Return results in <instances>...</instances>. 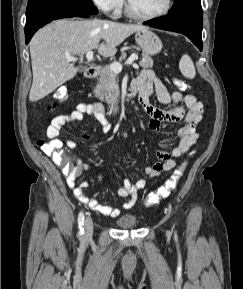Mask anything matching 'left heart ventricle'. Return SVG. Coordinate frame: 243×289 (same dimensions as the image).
<instances>
[{"label": "left heart ventricle", "mask_w": 243, "mask_h": 289, "mask_svg": "<svg viewBox=\"0 0 243 289\" xmlns=\"http://www.w3.org/2000/svg\"><path fill=\"white\" fill-rule=\"evenodd\" d=\"M132 8L142 15H153L162 11L166 0H130Z\"/></svg>", "instance_id": "1"}]
</instances>
